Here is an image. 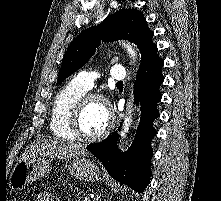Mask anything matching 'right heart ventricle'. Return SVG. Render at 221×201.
I'll list each match as a JSON object with an SVG mask.
<instances>
[{
	"instance_id": "right-heart-ventricle-1",
	"label": "right heart ventricle",
	"mask_w": 221,
	"mask_h": 201,
	"mask_svg": "<svg viewBox=\"0 0 221 201\" xmlns=\"http://www.w3.org/2000/svg\"><path fill=\"white\" fill-rule=\"evenodd\" d=\"M87 90L71 82L63 87L56 95L50 116V129L52 133L63 140H74L70 131V117L77 101Z\"/></svg>"
}]
</instances>
